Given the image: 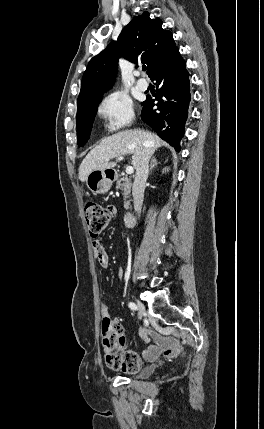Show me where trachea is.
<instances>
[{
  "mask_svg": "<svg viewBox=\"0 0 264 429\" xmlns=\"http://www.w3.org/2000/svg\"><path fill=\"white\" fill-rule=\"evenodd\" d=\"M146 69H147L146 66H143V71H146Z\"/></svg>",
  "mask_w": 264,
  "mask_h": 429,
  "instance_id": "trachea-1",
  "label": "trachea"
}]
</instances>
